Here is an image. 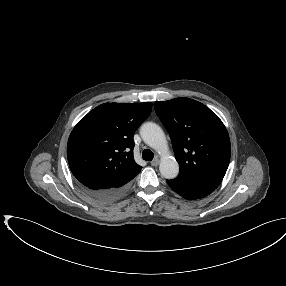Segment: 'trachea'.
I'll return each instance as SVG.
<instances>
[{
    "label": "trachea",
    "mask_w": 286,
    "mask_h": 286,
    "mask_svg": "<svg viewBox=\"0 0 286 286\" xmlns=\"http://www.w3.org/2000/svg\"><path fill=\"white\" fill-rule=\"evenodd\" d=\"M142 157H143L144 160L151 161L154 158V154H153V152L151 150L145 149L142 152Z\"/></svg>",
    "instance_id": "trachea-1"
}]
</instances>
